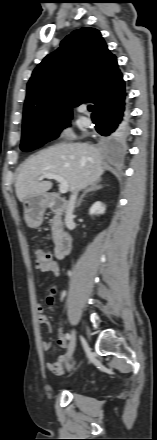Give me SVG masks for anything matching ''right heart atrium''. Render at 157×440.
I'll list each match as a JSON object with an SVG mask.
<instances>
[{
	"mask_svg": "<svg viewBox=\"0 0 157 440\" xmlns=\"http://www.w3.org/2000/svg\"><path fill=\"white\" fill-rule=\"evenodd\" d=\"M56 136L69 139V138H72L73 135H72V132L69 128L62 127L57 131Z\"/></svg>",
	"mask_w": 157,
	"mask_h": 440,
	"instance_id": "1",
	"label": "right heart atrium"
}]
</instances>
